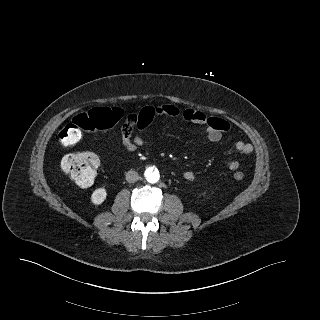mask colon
<instances>
[{
  "mask_svg": "<svg viewBox=\"0 0 320 320\" xmlns=\"http://www.w3.org/2000/svg\"><path fill=\"white\" fill-rule=\"evenodd\" d=\"M122 117V111L117 107H94L85 113L77 115L69 124L59 132V140L63 144H74L81 140L83 132L108 129L113 127ZM149 123L147 117L135 120L137 126ZM99 161L97 157L88 152L70 153L62 160V169L79 186H89L97 172ZM244 174L236 172L234 178L242 180Z\"/></svg>",
  "mask_w": 320,
  "mask_h": 320,
  "instance_id": "1",
  "label": "colon"
}]
</instances>
